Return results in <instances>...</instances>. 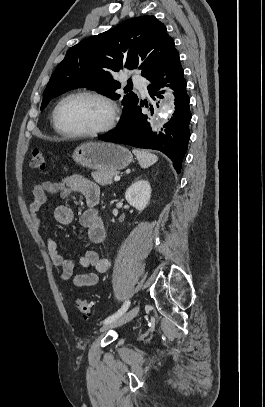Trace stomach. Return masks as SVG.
<instances>
[{
    "instance_id": "stomach-1",
    "label": "stomach",
    "mask_w": 265,
    "mask_h": 407,
    "mask_svg": "<svg viewBox=\"0 0 265 407\" xmlns=\"http://www.w3.org/2000/svg\"><path fill=\"white\" fill-rule=\"evenodd\" d=\"M72 157L78 165L97 171H118L133 161L128 149L108 142L83 143L75 149Z\"/></svg>"
}]
</instances>
